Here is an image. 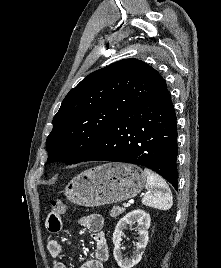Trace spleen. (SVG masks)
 Segmentation results:
<instances>
[{"mask_svg": "<svg viewBox=\"0 0 221 268\" xmlns=\"http://www.w3.org/2000/svg\"><path fill=\"white\" fill-rule=\"evenodd\" d=\"M148 192L142 198L146 206L160 210H169L173 204L172 193L166 181L148 168L144 169Z\"/></svg>", "mask_w": 221, "mask_h": 268, "instance_id": "obj_1", "label": "spleen"}]
</instances>
